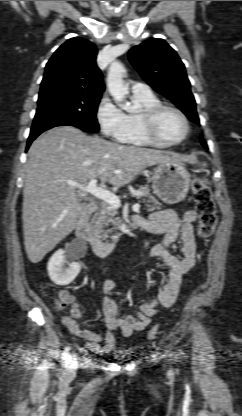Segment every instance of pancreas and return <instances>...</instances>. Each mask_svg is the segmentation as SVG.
<instances>
[{"label":"pancreas","mask_w":242,"mask_h":416,"mask_svg":"<svg viewBox=\"0 0 242 416\" xmlns=\"http://www.w3.org/2000/svg\"><path fill=\"white\" fill-rule=\"evenodd\" d=\"M136 192H141V195H138ZM133 197L136 198H143V202L145 203V207L149 211H153L155 209H160L162 204L150 194V189L147 185L140 186L137 191H133L130 193ZM118 211L117 208L111 206L106 202H102L99 205L97 212L94 214L92 218L93 229L95 230L96 234L99 235L100 238L106 239L108 238L107 233L113 232L112 229L106 230V228L112 224L117 225L120 223V218L117 217Z\"/></svg>","instance_id":"1"}]
</instances>
